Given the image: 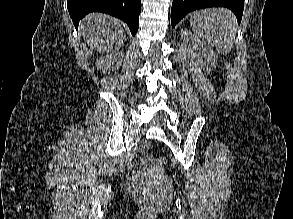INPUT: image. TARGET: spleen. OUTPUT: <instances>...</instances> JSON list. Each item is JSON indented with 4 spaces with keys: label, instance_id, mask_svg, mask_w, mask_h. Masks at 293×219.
<instances>
[{
    "label": "spleen",
    "instance_id": "spleen-1",
    "mask_svg": "<svg viewBox=\"0 0 293 219\" xmlns=\"http://www.w3.org/2000/svg\"><path fill=\"white\" fill-rule=\"evenodd\" d=\"M194 33L211 44L221 54H228L234 45L237 21L234 14L225 8L195 11L190 15Z\"/></svg>",
    "mask_w": 293,
    "mask_h": 219
}]
</instances>
